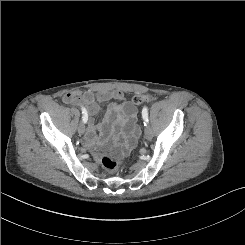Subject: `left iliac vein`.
Listing matches in <instances>:
<instances>
[{
    "instance_id": "obj_1",
    "label": "left iliac vein",
    "mask_w": 245,
    "mask_h": 245,
    "mask_svg": "<svg viewBox=\"0 0 245 245\" xmlns=\"http://www.w3.org/2000/svg\"><path fill=\"white\" fill-rule=\"evenodd\" d=\"M153 137V131L151 127L147 124L146 129H145V138L147 140H151Z\"/></svg>"
}]
</instances>
